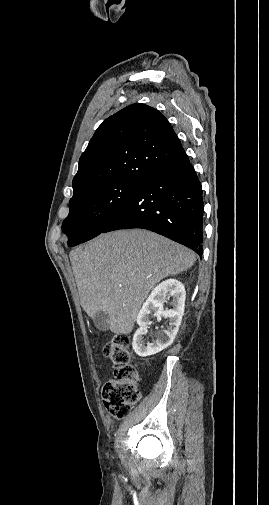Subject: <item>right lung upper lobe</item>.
I'll return each instance as SVG.
<instances>
[{"instance_id": "right-lung-upper-lobe-1", "label": "right lung upper lobe", "mask_w": 269, "mask_h": 505, "mask_svg": "<svg viewBox=\"0 0 269 505\" xmlns=\"http://www.w3.org/2000/svg\"><path fill=\"white\" fill-rule=\"evenodd\" d=\"M185 151L168 120L155 108L135 103L107 118L80 157L74 195L109 182L142 183Z\"/></svg>"}]
</instances>
